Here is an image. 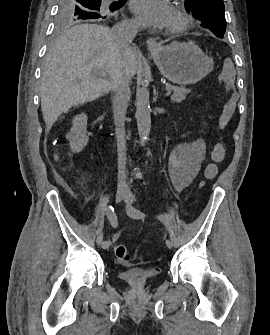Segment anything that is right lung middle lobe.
I'll return each mask as SVG.
<instances>
[{
	"instance_id": "right-lung-middle-lobe-1",
	"label": "right lung middle lobe",
	"mask_w": 270,
	"mask_h": 335,
	"mask_svg": "<svg viewBox=\"0 0 270 335\" xmlns=\"http://www.w3.org/2000/svg\"><path fill=\"white\" fill-rule=\"evenodd\" d=\"M126 0H116L101 6V0H60L58 3L57 25L64 28L84 23V20L105 22L111 19V12L121 8Z\"/></svg>"
}]
</instances>
